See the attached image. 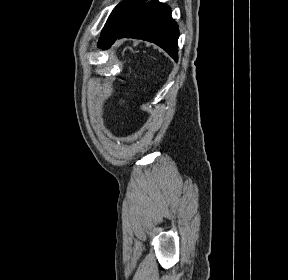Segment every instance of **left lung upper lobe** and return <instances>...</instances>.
<instances>
[{
  "label": "left lung upper lobe",
  "mask_w": 288,
  "mask_h": 280,
  "mask_svg": "<svg viewBox=\"0 0 288 280\" xmlns=\"http://www.w3.org/2000/svg\"><path fill=\"white\" fill-rule=\"evenodd\" d=\"M146 0H123L111 12L100 36L98 47L109 42L120 30L126 20L141 6Z\"/></svg>",
  "instance_id": "1"
}]
</instances>
